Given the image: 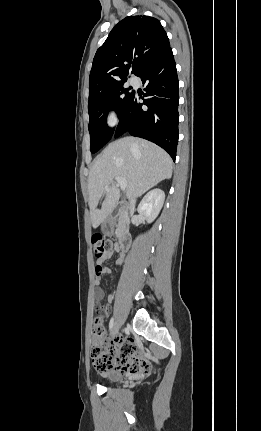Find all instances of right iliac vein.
<instances>
[{"label":"right iliac vein","mask_w":261,"mask_h":431,"mask_svg":"<svg viewBox=\"0 0 261 431\" xmlns=\"http://www.w3.org/2000/svg\"><path fill=\"white\" fill-rule=\"evenodd\" d=\"M118 330H119V323L115 322L114 325H113V327H112V330H111L112 331V335L115 336L116 333L118 332Z\"/></svg>","instance_id":"right-iliac-vein-1"}]
</instances>
